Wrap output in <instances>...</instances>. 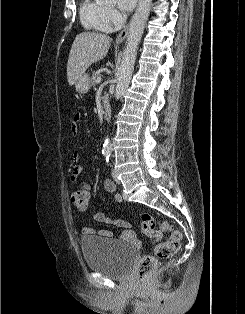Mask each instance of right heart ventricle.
Masks as SVG:
<instances>
[{
  "instance_id": "obj_1",
  "label": "right heart ventricle",
  "mask_w": 245,
  "mask_h": 314,
  "mask_svg": "<svg viewBox=\"0 0 245 314\" xmlns=\"http://www.w3.org/2000/svg\"><path fill=\"white\" fill-rule=\"evenodd\" d=\"M105 8L94 0H82L79 14L82 24L89 30L107 32L104 22Z\"/></svg>"
}]
</instances>
